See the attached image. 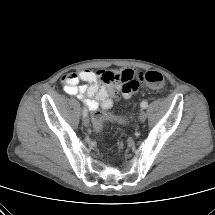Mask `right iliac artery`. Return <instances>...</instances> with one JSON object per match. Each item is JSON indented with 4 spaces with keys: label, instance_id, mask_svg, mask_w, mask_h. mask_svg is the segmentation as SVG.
I'll return each mask as SVG.
<instances>
[{
    "label": "right iliac artery",
    "instance_id": "right-iliac-artery-1",
    "mask_svg": "<svg viewBox=\"0 0 215 215\" xmlns=\"http://www.w3.org/2000/svg\"><path fill=\"white\" fill-rule=\"evenodd\" d=\"M82 113H83V116H87V113H88V112H87V109L84 108Z\"/></svg>",
    "mask_w": 215,
    "mask_h": 215
}]
</instances>
